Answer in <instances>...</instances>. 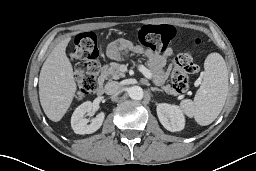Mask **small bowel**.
<instances>
[{
    "instance_id": "obj_1",
    "label": "small bowel",
    "mask_w": 256,
    "mask_h": 171,
    "mask_svg": "<svg viewBox=\"0 0 256 171\" xmlns=\"http://www.w3.org/2000/svg\"><path fill=\"white\" fill-rule=\"evenodd\" d=\"M127 50L131 53H143L147 60L148 64L153 71V80L157 85H161L165 82L167 78V72L164 70L166 62L171 55V51H166L163 54L153 53L150 50H145L140 46L129 45Z\"/></svg>"
}]
</instances>
